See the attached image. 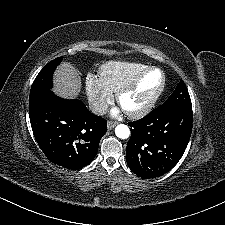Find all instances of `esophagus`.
<instances>
[{
    "instance_id": "esophagus-1",
    "label": "esophagus",
    "mask_w": 225,
    "mask_h": 225,
    "mask_svg": "<svg viewBox=\"0 0 225 225\" xmlns=\"http://www.w3.org/2000/svg\"><path fill=\"white\" fill-rule=\"evenodd\" d=\"M117 122L116 121H109L107 124V128L109 130L113 129L116 126Z\"/></svg>"
}]
</instances>
